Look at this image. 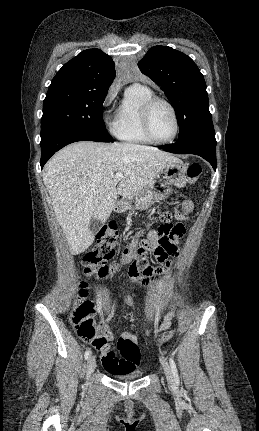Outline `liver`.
I'll list each match as a JSON object with an SVG mask.
<instances>
[{
    "label": "liver",
    "instance_id": "liver-1",
    "mask_svg": "<svg viewBox=\"0 0 259 431\" xmlns=\"http://www.w3.org/2000/svg\"><path fill=\"white\" fill-rule=\"evenodd\" d=\"M178 161L170 153L131 143L81 141L58 151L45 165L43 181L71 254L92 245L90 220L105 222L118 194L126 200L135 197ZM118 172L123 177L117 183Z\"/></svg>",
    "mask_w": 259,
    "mask_h": 431
}]
</instances>
